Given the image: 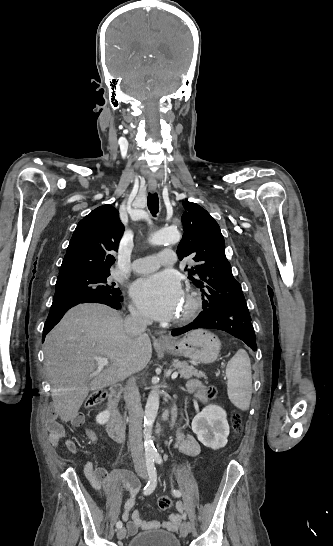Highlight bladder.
Masks as SVG:
<instances>
[{"instance_id": "1", "label": "bladder", "mask_w": 333, "mask_h": 546, "mask_svg": "<svg viewBox=\"0 0 333 546\" xmlns=\"http://www.w3.org/2000/svg\"><path fill=\"white\" fill-rule=\"evenodd\" d=\"M128 546H181L178 538L162 530L143 531L134 535Z\"/></svg>"}]
</instances>
